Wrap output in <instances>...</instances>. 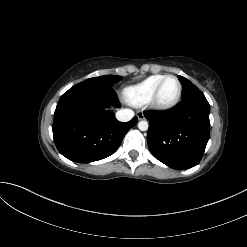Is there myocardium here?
<instances>
[{"mask_svg": "<svg viewBox=\"0 0 247 247\" xmlns=\"http://www.w3.org/2000/svg\"><path fill=\"white\" fill-rule=\"evenodd\" d=\"M169 78H173L177 81L178 91H177V94L173 100L165 103V102L160 101L159 95H160V91L162 89L163 84ZM181 95H182V83L179 80V78L175 75H166L160 81V83L157 85V87H156V89H155V91H154V93L150 99V104L154 109H156L158 111H168V110L174 108L179 103V101L181 99Z\"/></svg>", "mask_w": 247, "mask_h": 247, "instance_id": "f54148a6", "label": "myocardium"}]
</instances>
